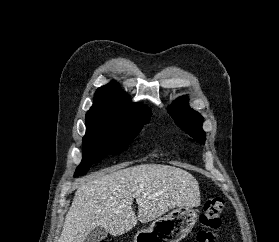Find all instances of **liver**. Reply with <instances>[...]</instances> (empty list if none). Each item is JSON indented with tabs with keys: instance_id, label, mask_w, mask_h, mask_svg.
Segmentation results:
<instances>
[{
	"instance_id": "obj_1",
	"label": "liver",
	"mask_w": 279,
	"mask_h": 242,
	"mask_svg": "<svg viewBox=\"0 0 279 242\" xmlns=\"http://www.w3.org/2000/svg\"><path fill=\"white\" fill-rule=\"evenodd\" d=\"M121 164L79 180L58 242H85L101 227L113 236L130 231L139 220L147 223L178 206L200 205L199 184L178 167ZM138 204V216L132 208Z\"/></svg>"
}]
</instances>
